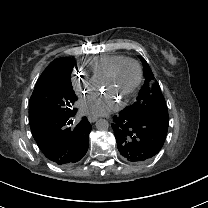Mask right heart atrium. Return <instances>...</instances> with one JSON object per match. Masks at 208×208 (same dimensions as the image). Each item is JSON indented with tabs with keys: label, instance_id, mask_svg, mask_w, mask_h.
Masks as SVG:
<instances>
[{
	"label": "right heart atrium",
	"instance_id": "1",
	"mask_svg": "<svg viewBox=\"0 0 208 208\" xmlns=\"http://www.w3.org/2000/svg\"><path fill=\"white\" fill-rule=\"evenodd\" d=\"M70 83L73 92L78 97H91L96 89V82L85 73H78L75 69L71 73Z\"/></svg>",
	"mask_w": 208,
	"mask_h": 208
}]
</instances>
